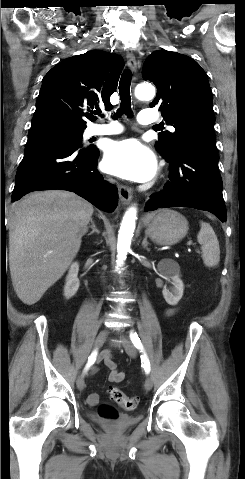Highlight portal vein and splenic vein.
I'll return each instance as SVG.
<instances>
[{"label":"portal vein and splenic vein","mask_w":245,"mask_h":479,"mask_svg":"<svg viewBox=\"0 0 245 479\" xmlns=\"http://www.w3.org/2000/svg\"><path fill=\"white\" fill-rule=\"evenodd\" d=\"M191 245H192L191 241L187 242V246H191Z\"/></svg>","instance_id":"18ae733b"}]
</instances>
